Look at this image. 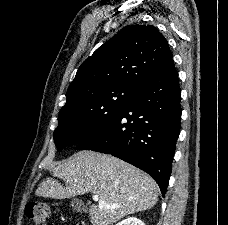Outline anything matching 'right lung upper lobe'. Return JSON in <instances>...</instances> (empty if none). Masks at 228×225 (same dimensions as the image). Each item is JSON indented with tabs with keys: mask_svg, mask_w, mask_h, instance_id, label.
Wrapping results in <instances>:
<instances>
[{
	"mask_svg": "<svg viewBox=\"0 0 228 225\" xmlns=\"http://www.w3.org/2000/svg\"><path fill=\"white\" fill-rule=\"evenodd\" d=\"M172 58L167 40L156 27L126 26L81 64L68 88L66 104L113 84L136 89Z\"/></svg>",
	"mask_w": 228,
	"mask_h": 225,
	"instance_id": "right-lung-upper-lobe-1",
	"label": "right lung upper lobe"
}]
</instances>
